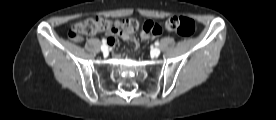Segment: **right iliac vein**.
Returning a JSON list of instances; mask_svg holds the SVG:
<instances>
[{
  "mask_svg": "<svg viewBox=\"0 0 276 120\" xmlns=\"http://www.w3.org/2000/svg\"><path fill=\"white\" fill-rule=\"evenodd\" d=\"M101 51L104 53H106L108 51V47L106 44L101 46Z\"/></svg>",
  "mask_w": 276,
  "mask_h": 120,
  "instance_id": "1",
  "label": "right iliac vein"
}]
</instances>
